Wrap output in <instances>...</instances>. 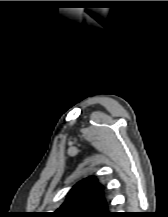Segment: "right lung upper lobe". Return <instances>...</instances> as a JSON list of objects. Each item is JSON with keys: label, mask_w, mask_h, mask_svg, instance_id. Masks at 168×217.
Instances as JSON below:
<instances>
[{"label": "right lung upper lobe", "mask_w": 168, "mask_h": 217, "mask_svg": "<svg viewBox=\"0 0 168 217\" xmlns=\"http://www.w3.org/2000/svg\"><path fill=\"white\" fill-rule=\"evenodd\" d=\"M103 190L95 177H89L76 184L68 193L67 200L52 217H109Z\"/></svg>", "instance_id": "obj_1"}]
</instances>
